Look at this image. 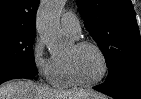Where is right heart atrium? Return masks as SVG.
<instances>
[{
    "label": "right heart atrium",
    "mask_w": 141,
    "mask_h": 99,
    "mask_svg": "<svg viewBox=\"0 0 141 99\" xmlns=\"http://www.w3.org/2000/svg\"><path fill=\"white\" fill-rule=\"evenodd\" d=\"M32 60L38 74L46 81H50L54 71V57L45 49L41 39L37 38L31 49Z\"/></svg>",
    "instance_id": "right-heart-atrium-1"
}]
</instances>
